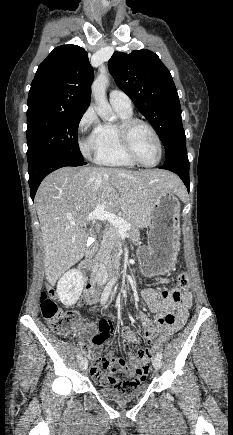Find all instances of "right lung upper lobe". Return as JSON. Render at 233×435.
<instances>
[{"label": "right lung upper lobe", "mask_w": 233, "mask_h": 435, "mask_svg": "<svg viewBox=\"0 0 233 435\" xmlns=\"http://www.w3.org/2000/svg\"><path fill=\"white\" fill-rule=\"evenodd\" d=\"M94 73L77 45L56 47L39 65L28 96L27 117L41 113H85Z\"/></svg>", "instance_id": "cb5924a9"}]
</instances>
